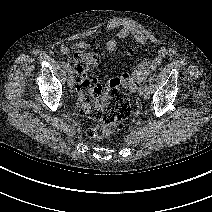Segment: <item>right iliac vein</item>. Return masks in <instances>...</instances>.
Wrapping results in <instances>:
<instances>
[{
    "instance_id": "right-iliac-vein-1",
    "label": "right iliac vein",
    "mask_w": 212,
    "mask_h": 212,
    "mask_svg": "<svg viewBox=\"0 0 212 212\" xmlns=\"http://www.w3.org/2000/svg\"><path fill=\"white\" fill-rule=\"evenodd\" d=\"M67 83H68V86H69L70 88H73V86H74V77H73V75H72V72H69V73H68V80H67Z\"/></svg>"
}]
</instances>
